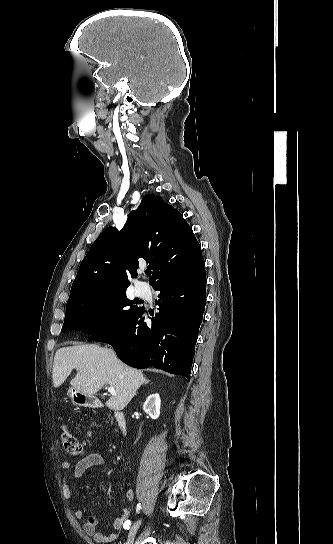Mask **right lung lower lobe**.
<instances>
[{
  "instance_id": "98d812e1",
  "label": "right lung lower lobe",
  "mask_w": 333,
  "mask_h": 544,
  "mask_svg": "<svg viewBox=\"0 0 333 544\" xmlns=\"http://www.w3.org/2000/svg\"><path fill=\"white\" fill-rule=\"evenodd\" d=\"M159 313L145 323V309L123 325L90 336L113 346L121 361L135 368L155 367L190 378L199 326L206 302V275L203 264L196 271L162 280Z\"/></svg>"
}]
</instances>
